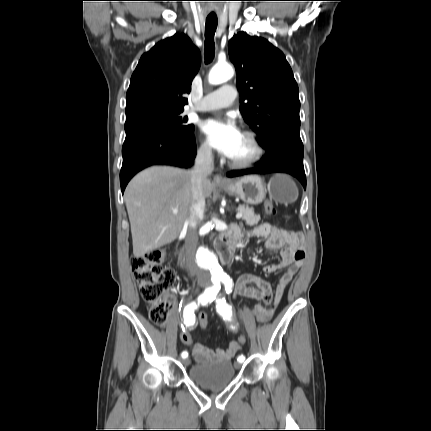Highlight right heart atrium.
Instances as JSON below:
<instances>
[{
    "label": "right heart atrium",
    "mask_w": 431,
    "mask_h": 431,
    "mask_svg": "<svg viewBox=\"0 0 431 431\" xmlns=\"http://www.w3.org/2000/svg\"><path fill=\"white\" fill-rule=\"evenodd\" d=\"M198 156L204 161H210L212 158V150L207 142L201 143L198 148Z\"/></svg>",
    "instance_id": "right-heart-atrium-1"
}]
</instances>
